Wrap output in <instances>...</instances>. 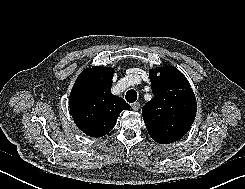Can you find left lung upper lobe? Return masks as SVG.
Instances as JSON below:
<instances>
[{
	"label": "left lung upper lobe",
	"mask_w": 245,
	"mask_h": 189,
	"mask_svg": "<svg viewBox=\"0 0 245 189\" xmlns=\"http://www.w3.org/2000/svg\"><path fill=\"white\" fill-rule=\"evenodd\" d=\"M150 70L153 99L142 108L149 135L160 144L181 139L190 129L197 110L195 95L185 76L175 67Z\"/></svg>",
	"instance_id": "1"
}]
</instances>
